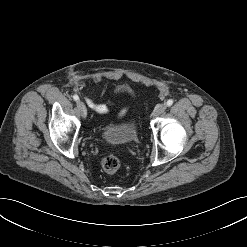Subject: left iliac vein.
<instances>
[{"mask_svg":"<svg viewBox=\"0 0 247 247\" xmlns=\"http://www.w3.org/2000/svg\"><path fill=\"white\" fill-rule=\"evenodd\" d=\"M166 108H167V105L166 104H164V103L158 104L155 107V109H154V111L152 113V116L153 117L159 116L160 114H162L163 112H165Z\"/></svg>","mask_w":247,"mask_h":247,"instance_id":"4c4485c4","label":"left iliac vein"}]
</instances>
